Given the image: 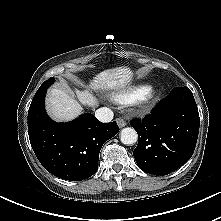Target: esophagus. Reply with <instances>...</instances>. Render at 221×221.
I'll list each match as a JSON object with an SVG mask.
<instances>
[{"mask_svg": "<svg viewBox=\"0 0 221 221\" xmlns=\"http://www.w3.org/2000/svg\"><path fill=\"white\" fill-rule=\"evenodd\" d=\"M116 122L120 128L125 127L127 125V122L121 118H117Z\"/></svg>", "mask_w": 221, "mask_h": 221, "instance_id": "34e87169", "label": "esophagus"}]
</instances>
